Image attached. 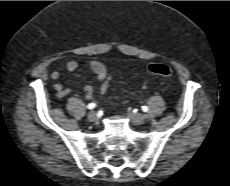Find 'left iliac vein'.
<instances>
[{
    "label": "left iliac vein",
    "mask_w": 230,
    "mask_h": 186,
    "mask_svg": "<svg viewBox=\"0 0 230 186\" xmlns=\"http://www.w3.org/2000/svg\"><path fill=\"white\" fill-rule=\"evenodd\" d=\"M128 115L135 124H142L146 120V115L142 113H137V114L129 113Z\"/></svg>",
    "instance_id": "4c4485c4"
}]
</instances>
